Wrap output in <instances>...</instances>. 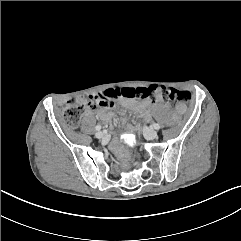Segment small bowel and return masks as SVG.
<instances>
[{
	"label": "small bowel",
	"instance_id": "small-bowel-1",
	"mask_svg": "<svg viewBox=\"0 0 241 241\" xmlns=\"http://www.w3.org/2000/svg\"><path fill=\"white\" fill-rule=\"evenodd\" d=\"M117 102V100H115L113 102L112 105H100L102 107H109V106H113L115 105V103ZM123 104L131 109H135V110H140V111H145L151 104V101L149 100H143V101H136L134 99L131 98H125L123 100ZM178 111L182 112L184 107L183 105H179L177 107ZM96 114L99 118H101L102 120H107L110 117V113H108L104 108H99L96 110Z\"/></svg>",
	"mask_w": 241,
	"mask_h": 241
}]
</instances>
